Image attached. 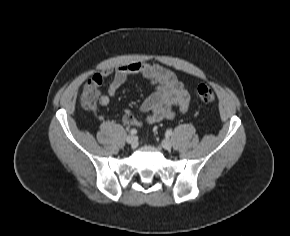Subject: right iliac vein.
Returning <instances> with one entry per match:
<instances>
[{"mask_svg": "<svg viewBox=\"0 0 290 236\" xmlns=\"http://www.w3.org/2000/svg\"><path fill=\"white\" fill-rule=\"evenodd\" d=\"M126 142L131 145L132 148L136 147L137 146V139L134 135L132 134H129L127 135L126 137Z\"/></svg>", "mask_w": 290, "mask_h": 236, "instance_id": "1", "label": "right iliac vein"}]
</instances>
